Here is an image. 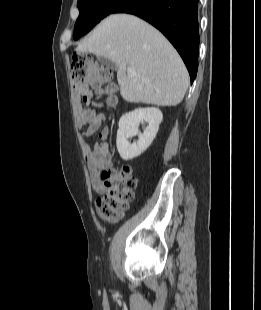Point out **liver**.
Instances as JSON below:
<instances>
[{
  "mask_svg": "<svg viewBox=\"0 0 261 310\" xmlns=\"http://www.w3.org/2000/svg\"><path fill=\"white\" fill-rule=\"evenodd\" d=\"M113 61L122 98L131 103L176 106L189 86L188 71L170 42L129 14L105 18L76 48ZM132 67L134 73H127Z\"/></svg>",
  "mask_w": 261,
  "mask_h": 310,
  "instance_id": "obj_1",
  "label": "liver"
}]
</instances>
